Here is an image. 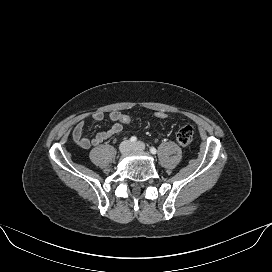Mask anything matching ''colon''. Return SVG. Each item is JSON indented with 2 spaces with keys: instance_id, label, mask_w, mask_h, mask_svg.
<instances>
[{
  "instance_id": "5ec220e1",
  "label": "colon",
  "mask_w": 272,
  "mask_h": 272,
  "mask_svg": "<svg viewBox=\"0 0 272 272\" xmlns=\"http://www.w3.org/2000/svg\"><path fill=\"white\" fill-rule=\"evenodd\" d=\"M154 117L158 120H164L168 117V114L163 111H157L155 112ZM118 120L122 125H126L131 122L130 116L123 113H120ZM192 138L193 129L188 125L182 126L176 133V140L181 146L189 145L192 141Z\"/></svg>"
}]
</instances>
